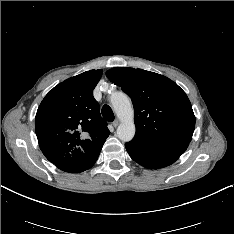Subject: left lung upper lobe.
Masks as SVG:
<instances>
[{"label":"left lung upper lobe","instance_id":"1","mask_svg":"<svg viewBox=\"0 0 234 234\" xmlns=\"http://www.w3.org/2000/svg\"><path fill=\"white\" fill-rule=\"evenodd\" d=\"M134 106L133 141L187 142L192 139L195 116L185 92L169 78L150 71L115 67L106 72Z\"/></svg>","mask_w":234,"mask_h":234}]
</instances>
